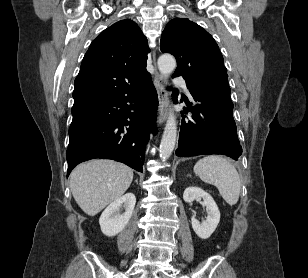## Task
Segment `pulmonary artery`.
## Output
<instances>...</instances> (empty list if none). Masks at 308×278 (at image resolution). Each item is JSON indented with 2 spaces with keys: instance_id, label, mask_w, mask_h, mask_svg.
Here are the masks:
<instances>
[{
  "instance_id": "e3ab8cb5",
  "label": "pulmonary artery",
  "mask_w": 308,
  "mask_h": 278,
  "mask_svg": "<svg viewBox=\"0 0 308 278\" xmlns=\"http://www.w3.org/2000/svg\"><path fill=\"white\" fill-rule=\"evenodd\" d=\"M173 82H174V84L183 87L187 91V93L190 95L189 90H188L187 85H186V82L182 78L177 77V78L174 79Z\"/></svg>"
}]
</instances>
